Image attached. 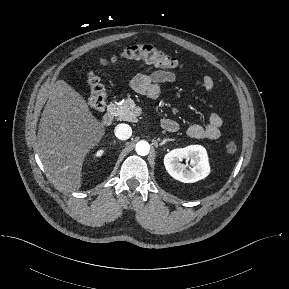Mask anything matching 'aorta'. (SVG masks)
<instances>
[{
    "mask_svg": "<svg viewBox=\"0 0 289 289\" xmlns=\"http://www.w3.org/2000/svg\"><path fill=\"white\" fill-rule=\"evenodd\" d=\"M150 151V145L147 141H139L136 144V152L141 156H145Z\"/></svg>",
    "mask_w": 289,
    "mask_h": 289,
    "instance_id": "1",
    "label": "aorta"
}]
</instances>
